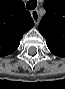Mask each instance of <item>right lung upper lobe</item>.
<instances>
[{"label": "right lung upper lobe", "instance_id": "cb5924a9", "mask_svg": "<svg viewBox=\"0 0 65 89\" xmlns=\"http://www.w3.org/2000/svg\"><path fill=\"white\" fill-rule=\"evenodd\" d=\"M33 26L21 0H0V57L14 52L23 34Z\"/></svg>", "mask_w": 65, "mask_h": 89}]
</instances>
